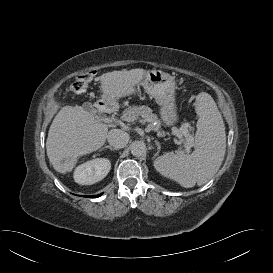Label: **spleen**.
I'll use <instances>...</instances> for the list:
<instances>
[{
  "mask_svg": "<svg viewBox=\"0 0 273 273\" xmlns=\"http://www.w3.org/2000/svg\"><path fill=\"white\" fill-rule=\"evenodd\" d=\"M195 111L199 118L194 151L191 154L165 153L154 161L161 175L185 188L207 183L219 170L226 151L223 118L208 93L198 94Z\"/></svg>",
  "mask_w": 273,
  "mask_h": 273,
  "instance_id": "obj_1",
  "label": "spleen"
}]
</instances>
